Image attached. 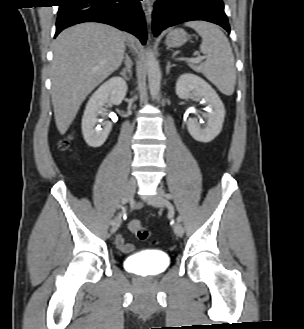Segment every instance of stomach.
I'll return each mask as SVG.
<instances>
[{
  "mask_svg": "<svg viewBox=\"0 0 304 329\" xmlns=\"http://www.w3.org/2000/svg\"><path fill=\"white\" fill-rule=\"evenodd\" d=\"M188 40V34L183 29H174L169 32L166 44L169 47H180Z\"/></svg>",
  "mask_w": 304,
  "mask_h": 329,
  "instance_id": "obj_1",
  "label": "stomach"
}]
</instances>
